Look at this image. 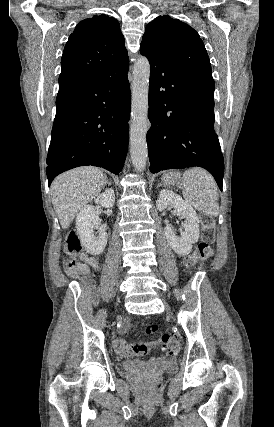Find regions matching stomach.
Listing matches in <instances>:
<instances>
[{"label":"stomach","mask_w":274,"mask_h":427,"mask_svg":"<svg viewBox=\"0 0 274 427\" xmlns=\"http://www.w3.org/2000/svg\"><path fill=\"white\" fill-rule=\"evenodd\" d=\"M180 180L181 174L179 172H167L162 176L163 186H176V184H180Z\"/></svg>","instance_id":"1"}]
</instances>
